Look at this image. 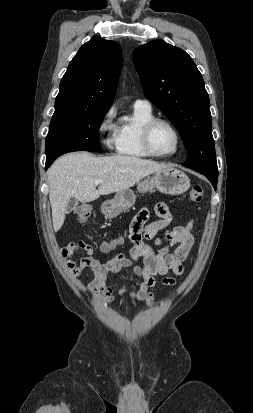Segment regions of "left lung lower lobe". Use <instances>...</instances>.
I'll return each mask as SVG.
<instances>
[{
	"label": "left lung lower lobe",
	"instance_id": "left-lung-lower-lobe-1",
	"mask_svg": "<svg viewBox=\"0 0 253 413\" xmlns=\"http://www.w3.org/2000/svg\"><path fill=\"white\" fill-rule=\"evenodd\" d=\"M200 173L205 175L210 180V182L212 183L214 189L216 190L218 174H211V173H206V172H200Z\"/></svg>",
	"mask_w": 253,
	"mask_h": 413
}]
</instances>
